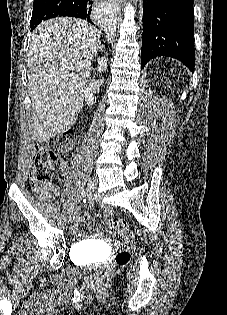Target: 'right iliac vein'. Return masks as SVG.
Here are the masks:
<instances>
[{
  "label": "right iliac vein",
  "mask_w": 227,
  "mask_h": 315,
  "mask_svg": "<svg viewBox=\"0 0 227 315\" xmlns=\"http://www.w3.org/2000/svg\"><path fill=\"white\" fill-rule=\"evenodd\" d=\"M96 187H97V180L95 178H90L88 183H87V195L88 196L92 195V193L95 191ZM79 210H80V208H78L74 213H72L69 216V222L75 221V219L79 215Z\"/></svg>",
  "instance_id": "63e3f726"
}]
</instances>
